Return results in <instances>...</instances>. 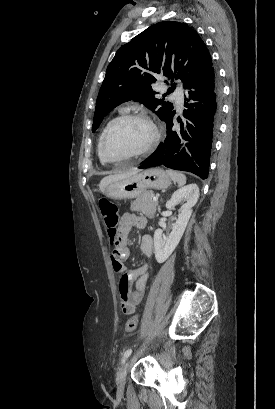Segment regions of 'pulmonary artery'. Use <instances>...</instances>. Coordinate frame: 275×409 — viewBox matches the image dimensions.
Wrapping results in <instances>:
<instances>
[{
	"mask_svg": "<svg viewBox=\"0 0 275 409\" xmlns=\"http://www.w3.org/2000/svg\"><path fill=\"white\" fill-rule=\"evenodd\" d=\"M173 98L175 99L178 108L181 109L183 106V102H184L183 94L181 92L175 93L173 95Z\"/></svg>",
	"mask_w": 275,
	"mask_h": 409,
	"instance_id": "e3ab8cb5",
	"label": "pulmonary artery"
}]
</instances>
